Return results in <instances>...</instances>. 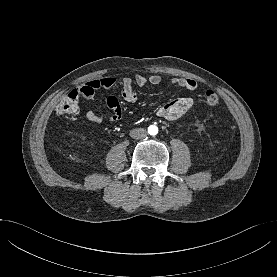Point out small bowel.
Instances as JSON below:
<instances>
[{
	"label": "small bowel",
	"instance_id": "c3829d8e",
	"mask_svg": "<svg viewBox=\"0 0 277 277\" xmlns=\"http://www.w3.org/2000/svg\"><path fill=\"white\" fill-rule=\"evenodd\" d=\"M162 82L159 75H143L138 74L134 79L124 78L121 82V96L129 103H133L137 99V93L135 86L143 88L148 85L157 86ZM116 83L113 77H104L100 79H94L84 84L79 90L82 97L85 99H93L95 92L98 89H110ZM173 86H177L185 89L189 93H193L197 90V82L193 79H185L174 77L170 80ZM193 99L191 97H178L167 104L163 105L158 111L157 115L160 118L174 121L186 114L193 106ZM107 107L112 111V115L109 117L110 122H116L122 117V109L119 100L115 96H109L106 101ZM86 117L89 121L101 124L104 122V118L97 115L94 111L89 110L86 113Z\"/></svg>",
	"mask_w": 277,
	"mask_h": 277
}]
</instances>
